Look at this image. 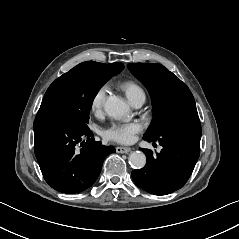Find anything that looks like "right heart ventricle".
<instances>
[{
	"mask_svg": "<svg viewBox=\"0 0 239 239\" xmlns=\"http://www.w3.org/2000/svg\"><path fill=\"white\" fill-rule=\"evenodd\" d=\"M124 88H125L128 96H131L138 91H143L137 84L132 83V82H127L124 85Z\"/></svg>",
	"mask_w": 239,
	"mask_h": 239,
	"instance_id": "obj_1",
	"label": "right heart ventricle"
}]
</instances>
